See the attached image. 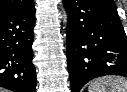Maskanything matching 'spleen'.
Segmentation results:
<instances>
[{
	"instance_id": "1",
	"label": "spleen",
	"mask_w": 127,
	"mask_h": 92,
	"mask_svg": "<svg viewBox=\"0 0 127 92\" xmlns=\"http://www.w3.org/2000/svg\"><path fill=\"white\" fill-rule=\"evenodd\" d=\"M88 92H127V80L118 76L98 78L90 83Z\"/></svg>"
}]
</instances>
